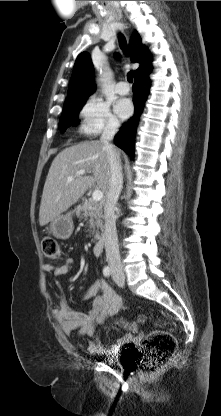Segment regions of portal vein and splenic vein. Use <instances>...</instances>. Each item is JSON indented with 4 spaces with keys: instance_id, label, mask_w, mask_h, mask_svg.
I'll list each match as a JSON object with an SVG mask.
<instances>
[{
    "instance_id": "1",
    "label": "portal vein and splenic vein",
    "mask_w": 221,
    "mask_h": 416,
    "mask_svg": "<svg viewBox=\"0 0 221 416\" xmlns=\"http://www.w3.org/2000/svg\"><path fill=\"white\" fill-rule=\"evenodd\" d=\"M84 174H86L85 170H79L75 173V176H82ZM72 179H73V176L68 177V181H71ZM102 198H103V192L101 190L96 189V190L93 191V193H92V200L93 201L99 202V201L102 200Z\"/></svg>"
}]
</instances>
